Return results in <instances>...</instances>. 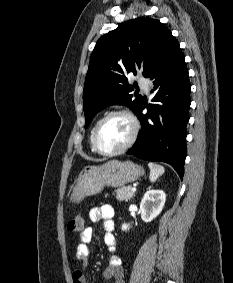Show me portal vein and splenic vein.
Listing matches in <instances>:
<instances>
[{"label": "portal vein and splenic vein", "instance_id": "1", "mask_svg": "<svg viewBox=\"0 0 233 283\" xmlns=\"http://www.w3.org/2000/svg\"><path fill=\"white\" fill-rule=\"evenodd\" d=\"M131 191H132V192H136V188L133 187V188L131 189Z\"/></svg>", "mask_w": 233, "mask_h": 283}]
</instances>
